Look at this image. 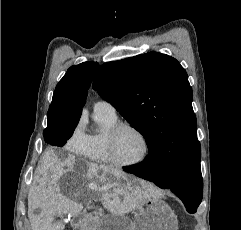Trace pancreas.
Segmentation results:
<instances>
[{"label": "pancreas", "mask_w": 241, "mask_h": 230, "mask_svg": "<svg viewBox=\"0 0 241 230\" xmlns=\"http://www.w3.org/2000/svg\"><path fill=\"white\" fill-rule=\"evenodd\" d=\"M101 221L102 219L98 215H95L89 221L86 222L85 226H94L100 223Z\"/></svg>", "instance_id": "pancreas-1"}]
</instances>
